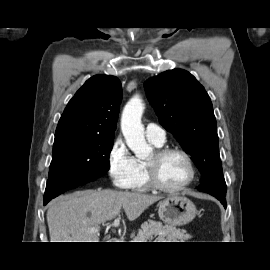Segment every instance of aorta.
<instances>
[{"label":"aorta","instance_id":"762f6f07","mask_svg":"<svg viewBox=\"0 0 270 270\" xmlns=\"http://www.w3.org/2000/svg\"><path fill=\"white\" fill-rule=\"evenodd\" d=\"M144 108L141 97L135 95L124 107L121 116V130L126 144L139 159L147 158L152 152L146 142L141 122Z\"/></svg>","mask_w":270,"mask_h":270}]
</instances>
